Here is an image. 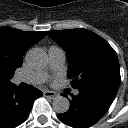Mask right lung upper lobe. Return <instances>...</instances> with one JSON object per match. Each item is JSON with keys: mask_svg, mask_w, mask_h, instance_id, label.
<instances>
[{"mask_svg": "<svg viewBox=\"0 0 128 128\" xmlns=\"http://www.w3.org/2000/svg\"><path fill=\"white\" fill-rule=\"evenodd\" d=\"M46 33L20 31L7 26L0 28V80L14 75L16 68L22 65L24 52Z\"/></svg>", "mask_w": 128, "mask_h": 128, "instance_id": "obj_1", "label": "right lung upper lobe"}]
</instances>
